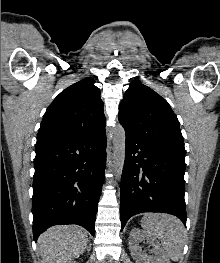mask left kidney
Returning <instances> with one entry per match:
<instances>
[{
    "label": "left kidney",
    "mask_w": 220,
    "mask_h": 263,
    "mask_svg": "<svg viewBox=\"0 0 220 263\" xmlns=\"http://www.w3.org/2000/svg\"><path fill=\"white\" fill-rule=\"evenodd\" d=\"M144 241L152 246V252L155 256H147L142 252L139 243ZM129 249L136 263H171L159 242L153 236L139 228H133L130 232Z\"/></svg>",
    "instance_id": "1"
}]
</instances>
